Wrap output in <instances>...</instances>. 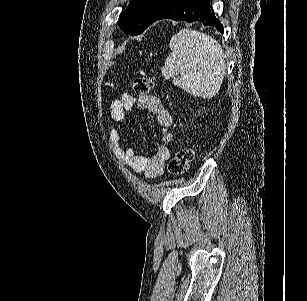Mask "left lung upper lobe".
<instances>
[{"mask_svg": "<svg viewBox=\"0 0 307 301\" xmlns=\"http://www.w3.org/2000/svg\"><path fill=\"white\" fill-rule=\"evenodd\" d=\"M177 1L132 0L120 14L118 25L126 34L139 35Z\"/></svg>", "mask_w": 307, "mask_h": 301, "instance_id": "left-lung-upper-lobe-1", "label": "left lung upper lobe"}]
</instances>
